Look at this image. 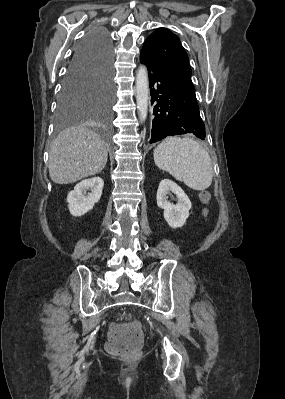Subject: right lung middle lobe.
<instances>
[{"label": "right lung middle lobe", "instance_id": "right-lung-middle-lobe-1", "mask_svg": "<svg viewBox=\"0 0 285 399\" xmlns=\"http://www.w3.org/2000/svg\"><path fill=\"white\" fill-rule=\"evenodd\" d=\"M114 97L112 74L66 75L58 98L59 128L87 111H94L105 122L111 117Z\"/></svg>", "mask_w": 285, "mask_h": 399}]
</instances>
